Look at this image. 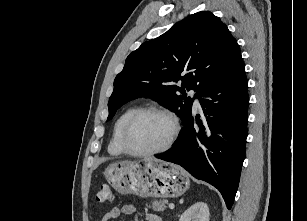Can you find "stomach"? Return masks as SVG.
<instances>
[{"label": "stomach", "instance_id": "1", "mask_svg": "<svg viewBox=\"0 0 307 221\" xmlns=\"http://www.w3.org/2000/svg\"><path fill=\"white\" fill-rule=\"evenodd\" d=\"M104 175L117 192L140 197H178L190 185L180 166L155 159L116 162L106 168Z\"/></svg>", "mask_w": 307, "mask_h": 221}]
</instances>
